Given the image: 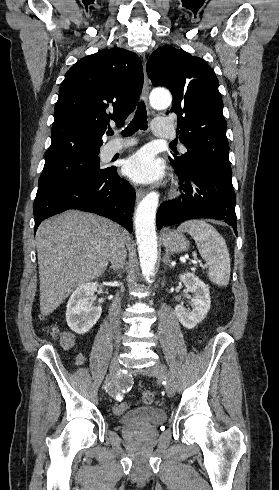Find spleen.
I'll list each match as a JSON object with an SVG mask.
<instances>
[{"label": "spleen", "instance_id": "1", "mask_svg": "<svg viewBox=\"0 0 279 490\" xmlns=\"http://www.w3.org/2000/svg\"><path fill=\"white\" fill-rule=\"evenodd\" d=\"M179 232H188L195 240L201 258L209 266L210 282L217 286H227L230 280V254L225 240L213 226L203 220H190L178 228Z\"/></svg>", "mask_w": 279, "mask_h": 490}]
</instances>
